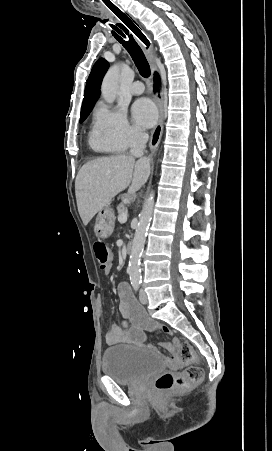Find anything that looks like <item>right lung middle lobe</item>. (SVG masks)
Wrapping results in <instances>:
<instances>
[{
	"label": "right lung middle lobe",
	"instance_id": "1",
	"mask_svg": "<svg viewBox=\"0 0 272 451\" xmlns=\"http://www.w3.org/2000/svg\"><path fill=\"white\" fill-rule=\"evenodd\" d=\"M91 110H92V108H82L81 109L80 123H82L87 118V116L89 115Z\"/></svg>",
	"mask_w": 272,
	"mask_h": 451
}]
</instances>
